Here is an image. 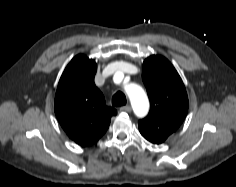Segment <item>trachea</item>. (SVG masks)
Here are the masks:
<instances>
[{
  "label": "trachea",
  "mask_w": 236,
  "mask_h": 187,
  "mask_svg": "<svg viewBox=\"0 0 236 187\" xmlns=\"http://www.w3.org/2000/svg\"><path fill=\"white\" fill-rule=\"evenodd\" d=\"M126 104V96L122 92H116L112 97V105L119 107Z\"/></svg>",
  "instance_id": "3493384b"
}]
</instances>
